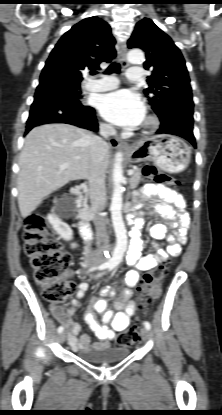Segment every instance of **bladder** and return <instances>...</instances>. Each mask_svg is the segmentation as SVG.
<instances>
[{
	"label": "bladder",
	"instance_id": "31cf9c89",
	"mask_svg": "<svg viewBox=\"0 0 222 415\" xmlns=\"http://www.w3.org/2000/svg\"><path fill=\"white\" fill-rule=\"evenodd\" d=\"M130 349L125 347H109L106 349H92L78 351L77 357L92 364H111L124 360L130 355Z\"/></svg>",
	"mask_w": 222,
	"mask_h": 415
}]
</instances>
